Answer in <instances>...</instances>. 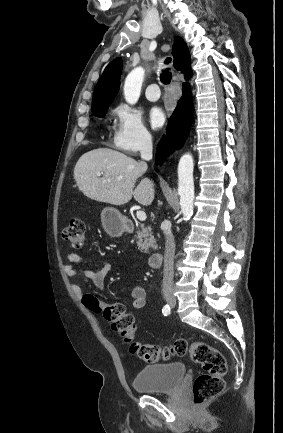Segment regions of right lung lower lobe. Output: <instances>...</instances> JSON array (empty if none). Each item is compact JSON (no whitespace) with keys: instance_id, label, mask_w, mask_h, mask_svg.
Listing matches in <instances>:
<instances>
[{"instance_id":"obj_1","label":"right lung lower lobe","mask_w":283,"mask_h":433,"mask_svg":"<svg viewBox=\"0 0 283 433\" xmlns=\"http://www.w3.org/2000/svg\"><path fill=\"white\" fill-rule=\"evenodd\" d=\"M190 76L185 77V79L188 80ZM193 112L191 91L189 85L184 83L182 97L169 119L166 135L162 137L158 144L155 158L156 164L163 161L164 155H168L172 150L183 146L191 128Z\"/></svg>"}]
</instances>
